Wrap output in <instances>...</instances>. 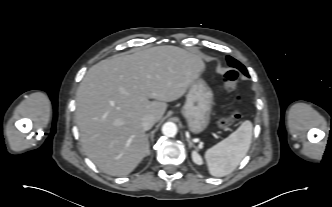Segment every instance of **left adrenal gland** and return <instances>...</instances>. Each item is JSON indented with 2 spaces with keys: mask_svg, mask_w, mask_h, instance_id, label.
<instances>
[{
  "mask_svg": "<svg viewBox=\"0 0 332 207\" xmlns=\"http://www.w3.org/2000/svg\"><path fill=\"white\" fill-rule=\"evenodd\" d=\"M187 142L189 144V147H192L193 146V143L191 142V140L189 138H187Z\"/></svg>",
  "mask_w": 332,
  "mask_h": 207,
  "instance_id": "obj_1",
  "label": "left adrenal gland"
}]
</instances>
